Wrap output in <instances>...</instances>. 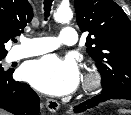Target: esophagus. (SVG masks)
Segmentation results:
<instances>
[{"label": "esophagus", "instance_id": "esophagus-1", "mask_svg": "<svg viewBox=\"0 0 131 115\" xmlns=\"http://www.w3.org/2000/svg\"><path fill=\"white\" fill-rule=\"evenodd\" d=\"M59 103L53 99L46 100V107L50 112H56L59 109Z\"/></svg>", "mask_w": 131, "mask_h": 115}]
</instances>
